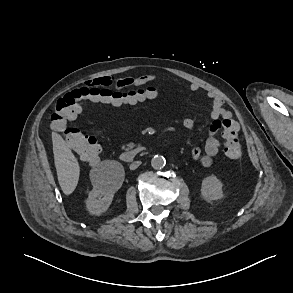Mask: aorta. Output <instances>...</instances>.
Listing matches in <instances>:
<instances>
[{"mask_svg":"<svg viewBox=\"0 0 293 293\" xmlns=\"http://www.w3.org/2000/svg\"><path fill=\"white\" fill-rule=\"evenodd\" d=\"M166 164V160L163 156L155 155L152 158L151 165L154 169H162Z\"/></svg>","mask_w":293,"mask_h":293,"instance_id":"762f6f07","label":"aorta"}]
</instances>
